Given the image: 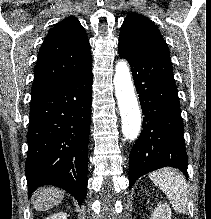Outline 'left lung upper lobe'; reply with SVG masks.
<instances>
[{
    "label": "left lung upper lobe",
    "instance_id": "obj_1",
    "mask_svg": "<svg viewBox=\"0 0 211 219\" xmlns=\"http://www.w3.org/2000/svg\"><path fill=\"white\" fill-rule=\"evenodd\" d=\"M119 45L139 53L170 56L167 44L155 24L136 13H130L125 18Z\"/></svg>",
    "mask_w": 211,
    "mask_h": 219
}]
</instances>
